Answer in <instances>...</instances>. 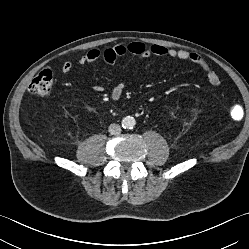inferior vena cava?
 <instances>
[{"mask_svg": "<svg viewBox=\"0 0 249 249\" xmlns=\"http://www.w3.org/2000/svg\"><path fill=\"white\" fill-rule=\"evenodd\" d=\"M109 132L112 135H118L121 133V126L119 124L112 123L109 126Z\"/></svg>", "mask_w": 249, "mask_h": 249, "instance_id": "1", "label": "inferior vena cava"}]
</instances>
